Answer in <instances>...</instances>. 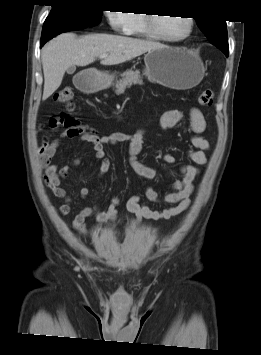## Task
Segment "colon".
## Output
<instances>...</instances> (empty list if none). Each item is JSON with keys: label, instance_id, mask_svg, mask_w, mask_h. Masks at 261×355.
<instances>
[{"label": "colon", "instance_id": "obj_1", "mask_svg": "<svg viewBox=\"0 0 261 355\" xmlns=\"http://www.w3.org/2000/svg\"><path fill=\"white\" fill-rule=\"evenodd\" d=\"M54 100L60 104H66L69 108H73V92L69 87H64L54 94ZM214 100V92L211 89L204 90L198 97V103L201 106H211ZM51 127L58 126V120L53 119L50 123Z\"/></svg>", "mask_w": 261, "mask_h": 355}]
</instances>
